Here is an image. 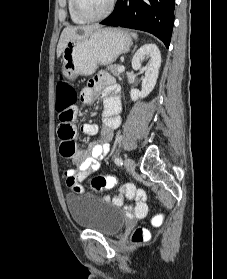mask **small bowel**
I'll list each match as a JSON object with an SVG mask.
<instances>
[{
	"mask_svg": "<svg viewBox=\"0 0 227 279\" xmlns=\"http://www.w3.org/2000/svg\"><path fill=\"white\" fill-rule=\"evenodd\" d=\"M103 97L104 110L102 113L101 138L86 150H77L72 156V161L77 164L75 168L65 171L67 186L70 178H75L79 187L82 189L81 183L93 174L98 168L101 161L104 160L110 150V143L113 138L114 130L120 125V87L115 79L107 73H98L96 78L82 89L80 100L86 105H91L96 102L98 95ZM75 126L74 119L70 122ZM81 130L87 135H95L99 131V126L96 123L84 122L81 125ZM73 142V141H72ZM123 190L128 193H134L137 188L134 185L127 184ZM148 211V206L144 199L138 200L135 205V215L143 216Z\"/></svg>",
	"mask_w": 227,
	"mask_h": 279,
	"instance_id": "small-bowel-1",
	"label": "small bowel"
}]
</instances>
